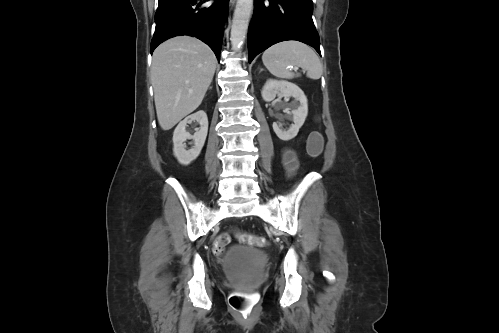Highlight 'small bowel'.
Returning <instances> with one entry per match:
<instances>
[{"mask_svg":"<svg viewBox=\"0 0 499 333\" xmlns=\"http://www.w3.org/2000/svg\"><path fill=\"white\" fill-rule=\"evenodd\" d=\"M282 158L287 174L289 176H293L298 168V162L295 152L291 149H285Z\"/></svg>","mask_w":499,"mask_h":333,"instance_id":"1","label":"small bowel"}]
</instances>
